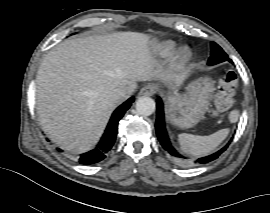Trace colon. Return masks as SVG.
Returning <instances> with one entry per match:
<instances>
[{"label":"colon","instance_id":"1","mask_svg":"<svg viewBox=\"0 0 270 213\" xmlns=\"http://www.w3.org/2000/svg\"><path fill=\"white\" fill-rule=\"evenodd\" d=\"M236 88V73L234 71H226L221 76L217 90L212 98L215 111H226L233 106Z\"/></svg>","mask_w":270,"mask_h":213}]
</instances>
